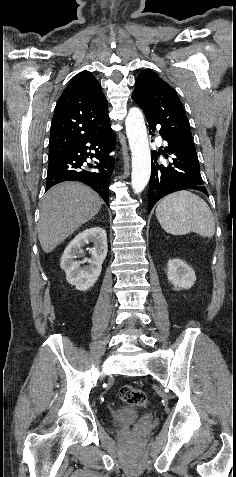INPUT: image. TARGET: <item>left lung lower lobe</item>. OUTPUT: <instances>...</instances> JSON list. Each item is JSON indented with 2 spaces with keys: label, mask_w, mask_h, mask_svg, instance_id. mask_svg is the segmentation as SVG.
<instances>
[{
  "label": "left lung lower lobe",
  "mask_w": 236,
  "mask_h": 477,
  "mask_svg": "<svg viewBox=\"0 0 236 477\" xmlns=\"http://www.w3.org/2000/svg\"><path fill=\"white\" fill-rule=\"evenodd\" d=\"M148 124L149 130L154 131L156 125L150 121H148ZM152 135L154 136V133ZM160 135L167 141V146L158 153L156 151L152 153L153 161L149 183L148 213H150L159 199L176 191L194 189L208 196L200 174L197 154L179 148L167 140L161 132ZM160 154L166 158L169 157L168 165L157 163L158 155Z\"/></svg>",
  "instance_id": "0a47b994"
}]
</instances>
